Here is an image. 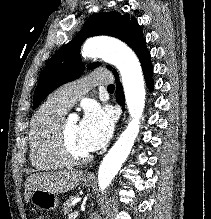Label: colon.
I'll use <instances>...</instances> for the list:
<instances>
[{
  "label": "colon",
  "mask_w": 211,
  "mask_h": 219,
  "mask_svg": "<svg viewBox=\"0 0 211 219\" xmlns=\"http://www.w3.org/2000/svg\"><path fill=\"white\" fill-rule=\"evenodd\" d=\"M37 219H46L45 217H39V218H37Z\"/></svg>",
  "instance_id": "obj_1"
}]
</instances>
